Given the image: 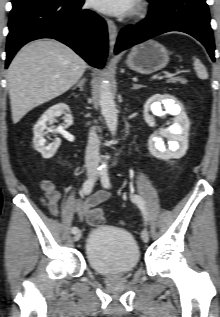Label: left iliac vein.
Segmentation results:
<instances>
[{
    "label": "left iliac vein",
    "instance_id": "obj_1",
    "mask_svg": "<svg viewBox=\"0 0 220 317\" xmlns=\"http://www.w3.org/2000/svg\"><path fill=\"white\" fill-rule=\"evenodd\" d=\"M141 238H142L143 242H145V243H147L149 241V234H148V231L146 229L142 230Z\"/></svg>",
    "mask_w": 220,
    "mask_h": 317
}]
</instances>
